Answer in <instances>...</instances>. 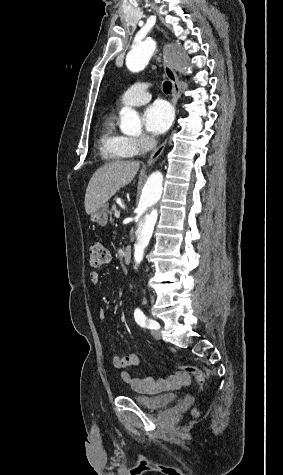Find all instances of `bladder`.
I'll return each instance as SVG.
<instances>
[{
	"instance_id": "31cf9c89",
	"label": "bladder",
	"mask_w": 283,
	"mask_h": 475,
	"mask_svg": "<svg viewBox=\"0 0 283 475\" xmlns=\"http://www.w3.org/2000/svg\"><path fill=\"white\" fill-rule=\"evenodd\" d=\"M130 399L138 406L146 410L156 411L158 409L166 408L167 406L175 402L177 400V397L168 394H161L156 396H141L136 393H131Z\"/></svg>"
}]
</instances>
